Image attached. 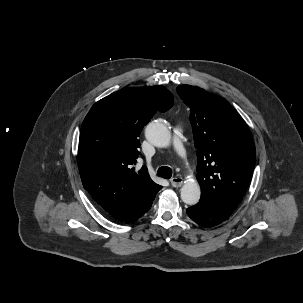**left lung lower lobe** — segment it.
Instances as JSON below:
<instances>
[{
  "label": "left lung lower lobe",
  "instance_id": "0a47b994",
  "mask_svg": "<svg viewBox=\"0 0 303 303\" xmlns=\"http://www.w3.org/2000/svg\"><path fill=\"white\" fill-rule=\"evenodd\" d=\"M186 212L194 222L204 227L218 225L231 215L221 206L207 200H200L197 205L188 208Z\"/></svg>",
  "mask_w": 303,
  "mask_h": 303
}]
</instances>
